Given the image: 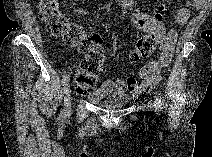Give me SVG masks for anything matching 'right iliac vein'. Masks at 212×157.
<instances>
[{
	"label": "right iliac vein",
	"instance_id": "obj_1",
	"mask_svg": "<svg viewBox=\"0 0 212 157\" xmlns=\"http://www.w3.org/2000/svg\"><path fill=\"white\" fill-rule=\"evenodd\" d=\"M64 104H65V111L70 112L71 98H70V87L68 84H66L64 87Z\"/></svg>",
	"mask_w": 212,
	"mask_h": 157
}]
</instances>
